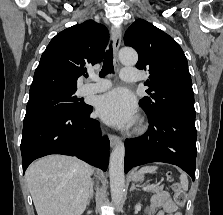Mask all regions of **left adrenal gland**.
Returning <instances> with one entry per match:
<instances>
[{"label":"left adrenal gland","instance_id":"left-adrenal-gland-1","mask_svg":"<svg viewBox=\"0 0 223 215\" xmlns=\"http://www.w3.org/2000/svg\"><path fill=\"white\" fill-rule=\"evenodd\" d=\"M132 189H138L137 185H135L134 181H132V185L130 187V191H132Z\"/></svg>","mask_w":223,"mask_h":215}]
</instances>
